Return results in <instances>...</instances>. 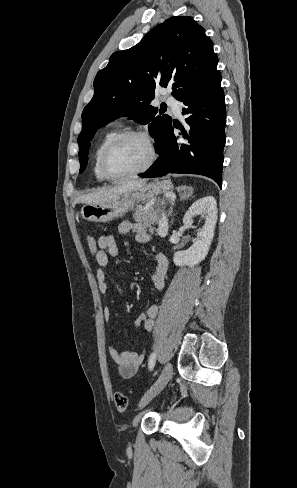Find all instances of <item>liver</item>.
<instances>
[{"instance_id": "liver-1", "label": "liver", "mask_w": 297, "mask_h": 488, "mask_svg": "<svg viewBox=\"0 0 297 488\" xmlns=\"http://www.w3.org/2000/svg\"><path fill=\"white\" fill-rule=\"evenodd\" d=\"M146 183V179L132 178L123 182L119 186L85 194L80 197L79 200L86 204L109 203L119 198L122 194L138 189Z\"/></svg>"}]
</instances>
